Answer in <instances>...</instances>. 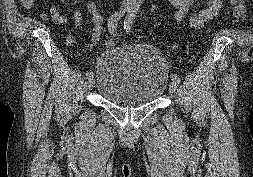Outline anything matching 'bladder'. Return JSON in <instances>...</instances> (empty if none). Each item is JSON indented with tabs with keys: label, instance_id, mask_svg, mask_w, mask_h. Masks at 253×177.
Segmentation results:
<instances>
[{
	"label": "bladder",
	"instance_id": "1",
	"mask_svg": "<svg viewBox=\"0 0 253 177\" xmlns=\"http://www.w3.org/2000/svg\"><path fill=\"white\" fill-rule=\"evenodd\" d=\"M95 74L97 93L111 103H153L167 84L165 58L147 46L110 48L99 57Z\"/></svg>",
	"mask_w": 253,
	"mask_h": 177
}]
</instances>
